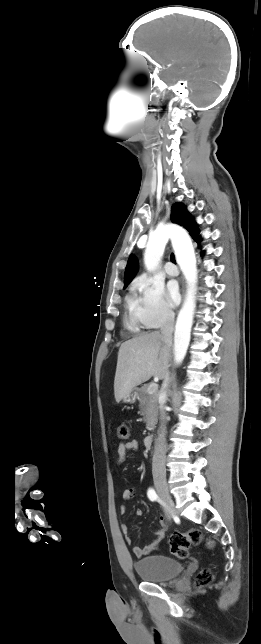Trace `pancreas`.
I'll return each mask as SVG.
<instances>
[{
    "instance_id": "cf45deb5",
    "label": "pancreas",
    "mask_w": 261,
    "mask_h": 644,
    "mask_svg": "<svg viewBox=\"0 0 261 644\" xmlns=\"http://www.w3.org/2000/svg\"><path fill=\"white\" fill-rule=\"evenodd\" d=\"M148 385H144L139 389V408L141 414L144 416L147 430H152L157 422L158 414V392L149 394Z\"/></svg>"
}]
</instances>
